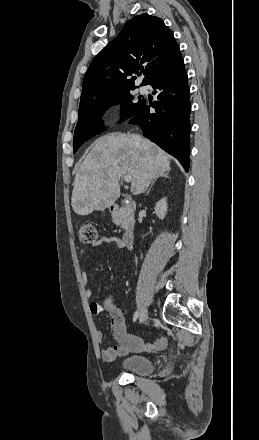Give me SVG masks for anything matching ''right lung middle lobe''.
Instances as JSON below:
<instances>
[{
  "label": "right lung middle lobe",
  "instance_id": "obj_1",
  "mask_svg": "<svg viewBox=\"0 0 259 440\" xmlns=\"http://www.w3.org/2000/svg\"><path fill=\"white\" fill-rule=\"evenodd\" d=\"M130 90L114 93L83 108H79V121L73 138L74 153L85 141L105 130L101 118L105 110L110 106L121 104L123 119L132 117L139 110L143 100L133 103V96L130 94Z\"/></svg>",
  "mask_w": 259,
  "mask_h": 440
}]
</instances>
